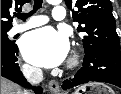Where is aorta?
I'll return each instance as SVG.
<instances>
[{
    "mask_svg": "<svg viewBox=\"0 0 121 94\" xmlns=\"http://www.w3.org/2000/svg\"><path fill=\"white\" fill-rule=\"evenodd\" d=\"M47 2L50 4H58L61 2V0H47Z\"/></svg>",
    "mask_w": 121,
    "mask_h": 94,
    "instance_id": "762f6f07",
    "label": "aorta"
}]
</instances>
